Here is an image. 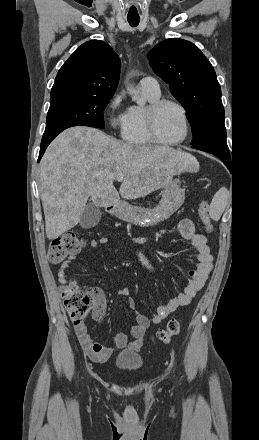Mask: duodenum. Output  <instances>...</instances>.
Masks as SVG:
<instances>
[{
    "instance_id": "obj_1",
    "label": "duodenum",
    "mask_w": 259,
    "mask_h": 440,
    "mask_svg": "<svg viewBox=\"0 0 259 440\" xmlns=\"http://www.w3.org/2000/svg\"><path fill=\"white\" fill-rule=\"evenodd\" d=\"M118 204L117 203H112L110 205H108L106 207L107 212L112 213L115 211V209L117 208Z\"/></svg>"
}]
</instances>
